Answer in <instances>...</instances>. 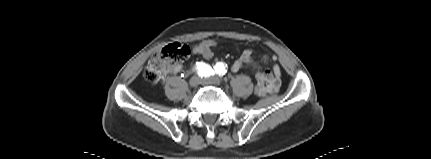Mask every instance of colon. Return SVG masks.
Listing matches in <instances>:
<instances>
[{"instance_id": "obj_1", "label": "colon", "mask_w": 431, "mask_h": 159, "mask_svg": "<svg viewBox=\"0 0 431 159\" xmlns=\"http://www.w3.org/2000/svg\"><path fill=\"white\" fill-rule=\"evenodd\" d=\"M196 53L204 56H213L215 48L200 46ZM190 55V48L180 43H173L163 47L156 52L148 62L144 71V78L150 83H156L175 64L186 60ZM252 97L258 98L260 88L258 83H253L251 87Z\"/></svg>"}]
</instances>
